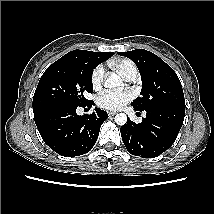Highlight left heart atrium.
I'll list each match as a JSON object with an SVG mask.
<instances>
[{"label": "left heart atrium", "mask_w": 214, "mask_h": 214, "mask_svg": "<svg viewBox=\"0 0 214 214\" xmlns=\"http://www.w3.org/2000/svg\"><path fill=\"white\" fill-rule=\"evenodd\" d=\"M134 97L133 91L125 89L122 91L106 90L97 97L99 107L107 110H119Z\"/></svg>", "instance_id": "obj_1"}]
</instances>
